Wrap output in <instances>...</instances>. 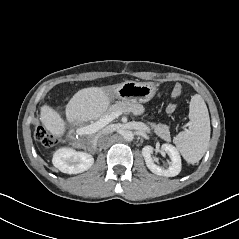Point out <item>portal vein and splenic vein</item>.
<instances>
[{"label":"portal vein and splenic vein","instance_id":"18ae733b","mask_svg":"<svg viewBox=\"0 0 239 239\" xmlns=\"http://www.w3.org/2000/svg\"><path fill=\"white\" fill-rule=\"evenodd\" d=\"M122 114H124V111L118 110V111H115V112L111 113L110 115H106V116L100 118L95 123L86 126L85 127V133L86 134H91V133H95V132L99 131L100 129L105 127L107 124H109L114 119L121 116Z\"/></svg>","mask_w":239,"mask_h":239}]
</instances>
